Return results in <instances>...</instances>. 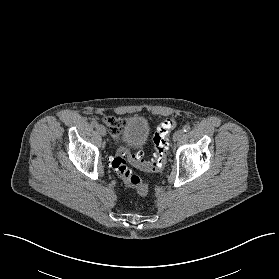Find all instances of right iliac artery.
I'll return each instance as SVG.
<instances>
[{
    "label": "right iliac artery",
    "mask_w": 279,
    "mask_h": 279,
    "mask_svg": "<svg viewBox=\"0 0 279 279\" xmlns=\"http://www.w3.org/2000/svg\"><path fill=\"white\" fill-rule=\"evenodd\" d=\"M91 125H92L93 127H97V126H98V122L95 121V120H93V121L91 122Z\"/></svg>",
    "instance_id": "right-iliac-artery-1"
}]
</instances>
